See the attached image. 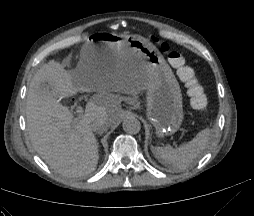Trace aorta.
Here are the masks:
<instances>
[{
	"instance_id": "1",
	"label": "aorta",
	"mask_w": 254,
	"mask_h": 216,
	"mask_svg": "<svg viewBox=\"0 0 254 216\" xmlns=\"http://www.w3.org/2000/svg\"><path fill=\"white\" fill-rule=\"evenodd\" d=\"M123 129L128 134H137L141 129L140 121L134 116H128L123 121Z\"/></svg>"
}]
</instances>
